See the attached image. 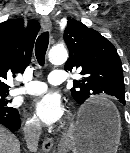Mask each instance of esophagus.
<instances>
[{"instance_id": "34e87169", "label": "esophagus", "mask_w": 130, "mask_h": 153, "mask_svg": "<svg viewBox=\"0 0 130 153\" xmlns=\"http://www.w3.org/2000/svg\"><path fill=\"white\" fill-rule=\"evenodd\" d=\"M42 27L45 30H51L52 29V22L49 16H43L41 19ZM54 141L52 138H47L42 143V149L44 152H50L53 148Z\"/></svg>"}]
</instances>
